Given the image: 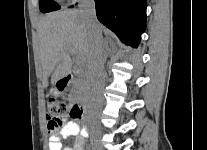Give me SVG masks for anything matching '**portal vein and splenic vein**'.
Listing matches in <instances>:
<instances>
[{
  "mask_svg": "<svg viewBox=\"0 0 207 150\" xmlns=\"http://www.w3.org/2000/svg\"><path fill=\"white\" fill-rule=\"evenodd\" d=\"M72 53H74V52H72ZM77 64H78L79 66H83V62H82L81 60H79V59H77Z\"/></svg>",
  "mask_w": 207,
  "mask_h": 150,
  "instance_id": "obj_1",
  "label": "portal vein and splenic vein"
}]
</instances>
